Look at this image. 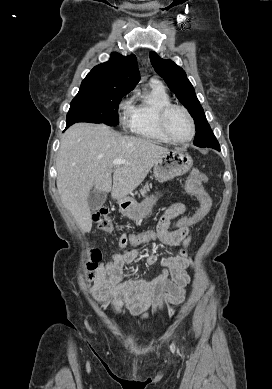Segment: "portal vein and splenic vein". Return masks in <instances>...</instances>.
I'll use <instances>...</instances> for the list:
<instances>
[{
    "instance_id": "obj_1",
    "label": "portal vein and splenic vein",
    "mask_w": 272,
    "mask_h": 389,
    "mask_svg": "<svg viewBox=\"0 0 272 389\" xmlns=\"http://www.w3.org/2000/svg\"><path fill=\"white\" fill-rule=\"evenodd\" d=\"M123 163H125V160H122V159H115V160L113 161V165H114V166H119V165H121V164H123Z\"/></svg>"
}]
</instances>
